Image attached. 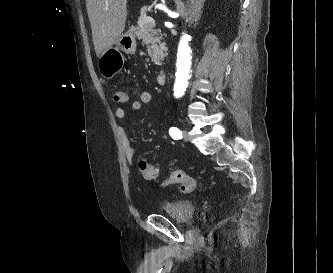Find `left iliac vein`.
<instances>
[{
	"instance_id": "obj_1",
	"label": "left iliac vein",
	"mask_w": 333,
	"mask_h": 273,
	"mask_svg": "<svg viewBox=\"0 0 333 273\" xmlns=\"http://www.w3.org/2000/svg\"><path fill=\"white\" fill-rule=\"evenodd\" d=\"M182 135L184 140L188 141L190 139V135L187 130H183Z\"/></svg>"
}]
</instances>
